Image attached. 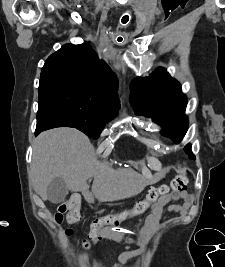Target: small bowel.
<instances>
[{"instance_id":"obj_1","label":"small bowel","mask_w":225,"mask_h":267,"mask_svg":"<svg viewBox=\"0 0 225 267\" xmlns=\"http://www.w3.org/2000/svg\"><path fill=\"white\" fill-rule=\"evenodd\" d=\"M177 200H180L181 202L177 204L169 205L167 207V210L169 212L183 214L192 206V203H193V197L188 192L172 193L162 198L157 203H155L152 207V212L148 217V222L150 223V225L152 227H156L165 206L169 202L177 201ZM90 234H91V231H90ZM111 236H113V233H110V232H105L104 234L96 235L92 238V243L93 244L97 243L103 237H111ZM144 250H145V246H142L141 248L137 250L122 254L118 260V263L115 264L114 267H123L129 259L141 255L144 252Z\"/></svg>"}]
</instances>
